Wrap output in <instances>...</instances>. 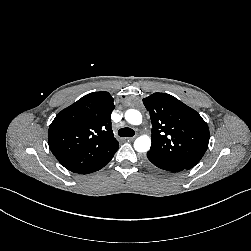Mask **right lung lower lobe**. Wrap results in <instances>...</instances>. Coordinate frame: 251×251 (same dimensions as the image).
Listing matches in <instances>:
<instances>
[{
	"instance_id": "98d812e1",
	"label": "right lung lower lobe",
	"mask_w": 251,
	"mask_h": 251,
	"mask_svg": "<svg viewBox=\"0 0 251 251\" xmlns=\"http://www.w3.org/2000/svg\"><path fill=\"white\" fill-rule=\"evenodd\" d=\"M111 159H112V158H111ZM111 159H110V160H111ZM110 160H109V161H110ZM109 161H107L102 167H99V168L94 169V170H90V171L85 172V173H82V174H88V173H92V172L98 171V170H100L101 168H103Z\"/></svg>"
}]
</instances>
